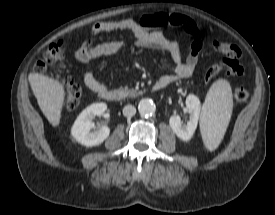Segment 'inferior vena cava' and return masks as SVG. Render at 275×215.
Returning <instances> with one entry per match:
<instances>
[{"instance_id": "602c4592", "label": "inferior vena cava", "mask_w": 275, "mask_h": 215, "mask_svg": "<svg viewBox=\"0 0 275 215\" xmlns=\"http://www.w3.org/2000/svg\"><path fill=\"white\" fill-rule=\"evenodd\" d=\"M136 114V108L133 105H126L123 108V115L126 117H132Z\"/></svg>"}]
</instances>
